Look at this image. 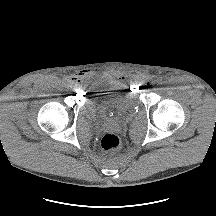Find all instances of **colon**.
<instances>
[{
	"label": "colon",
	"instance_id": "colon-1",
	"mask_svg": "<svg viewBox=\"0 0 216 216\" xmlns=\"http://www.w3.org/2000/svg\"><path fill=\"white\" fill-rule=\"evenodd\" d=\"M120 145H121V140L119 136H117L114 133L105 134L101 140V147L105 151L116 150L120 147Z\"/></svg>",
	"mask_w": 216,
	"mask_h": 216
}]
</instances>
